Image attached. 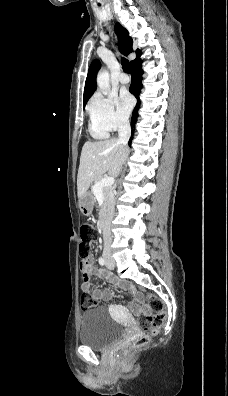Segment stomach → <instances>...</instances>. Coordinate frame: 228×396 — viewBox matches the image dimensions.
Listing matches in <instances>:
<instances>
[{
	"label": "stomach",
	"mask_w": 228,
	"mask_h": 396,
	"mask_svg": "<svg viewBox=\"0 0 228 396\" xmlns=\"http://www.w3.org/2000/svg\"><path fill=\"white\" fill-rule=\"evenodd\" d=\"M95 204V198L92 192L87 191L81 198H79V207L83 215L89 216Z\"/></svg>",
	"instance_id": "1"
}]
</instances>
